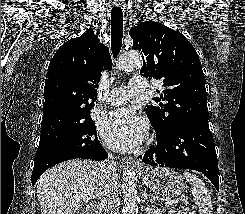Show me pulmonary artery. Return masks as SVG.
Listing matches in <instances>:
<instances>
[{
    "label": "pulmonary artery",
    "mask_w": 245,
    "mask_h": 214,
    "mask_svg": "<svg viewBox=\"0 0 245 214\" xmlns=\"http://www.w3.org/2000/svg\"><path fill=\"white\" fill-rule=\"evenodd\" d=\"M147 89V81L142 77H133L128 86L113 89L106 97L110 105L125 103L131 96L144 93Z\"/></svg>",
    "instance_id": "1"
}]
</instances>
